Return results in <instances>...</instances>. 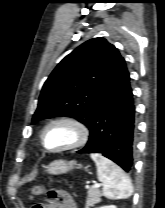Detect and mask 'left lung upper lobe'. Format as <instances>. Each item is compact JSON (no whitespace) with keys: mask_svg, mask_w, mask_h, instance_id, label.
<instances>
[{"mask_svg":"<svg viewBox=\"0 0 165 208\" xmlns=\"http://www.w3.org/2000/svg\"><path fill=\"white\" fill-rule=\"evenodd\" d=\"M126 66L114 45L93 38L67 55L43 85L32 124L68 116L89 126L94 112Z\"/></svg>","mask_w":165,"mask_h":208,"instance_id":"5c2ea615","label":"left lung upper lobe"}]
</instances>
